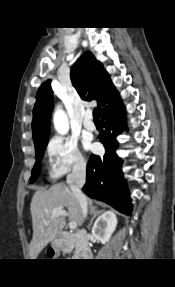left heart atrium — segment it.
<instances>
[{
  "mask_svg": "<svg viewBox=\"0 0 175 287\" xmlns=\"http://www.w3.org/2000/svg\"><path fill=\"white\" fill-rule=\"evenodd\" d=\"M86 146L89 147V143L88 142L86 143Z\"/></svg>",
  "mask_w": 175,
  "mask_h": 287,
  "instance_id": "left-heart-atrium-1",
  "label": "left heart atrium"
}]
</instances>
